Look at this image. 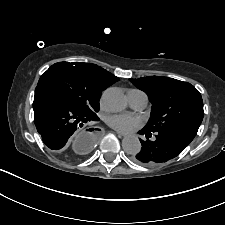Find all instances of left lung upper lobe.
<instances>
[{
  "instance_id": "obj_1",
  "label": "left lung upper lobe",
  "mask_w": 225,
  "mask_h": 225,
  "mask_svg": "<svg viewBox=\"0 0 225 225\" xmlns=\"http://www.w3.org/2000/svg\"><path fill=\"white\" fill-rule=\"evenodd\" d=\"M130 81L144 91L152 103L146 130L155 133L182 125L200 126L204 115L203 101L190 83L159 76Z\"/></svg>"
}]
</instances>
